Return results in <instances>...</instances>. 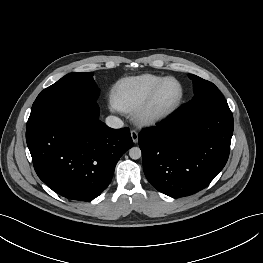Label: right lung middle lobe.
<instances>
[{"label":"right lung middle lobe","mask_w":263,"mask_h":263,"mask_svg":"<svg viewBox=\"0 0 263 263\" xmlns=\"http://www.w3.org/2000/svg\"><path fill=\"white\" fill-rule=\"evenodd\" d=\"M92 76L93 72L70 73L44 89L33 103L26 129L60 110L76 113L87 100L96 101L99 94Z\"/></svg>","instance_id":"obj_1"}]
</instances>
